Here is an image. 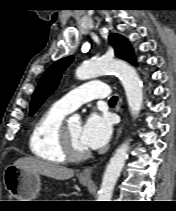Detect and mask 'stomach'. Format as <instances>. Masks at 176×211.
<instances>
[{
	"label": "stomach",
	"mask_w": 176,
	"mask_h": 211,
	"mask_svg": "<svg viewBox=\"0 0 176 211\" xmlns=\"http://www.w3.org/2000/svg\"><path fill=\"white\" fill-rule=\"evenodd\" d=\"M4 185L9 194L17 201H33L39 193L41 180L38 173L28 172L14 165L8 166L3 174ZM87 185L88 180L80 179Z\"/></svg>",
	"instance_id": "1"
}]
</instances>
